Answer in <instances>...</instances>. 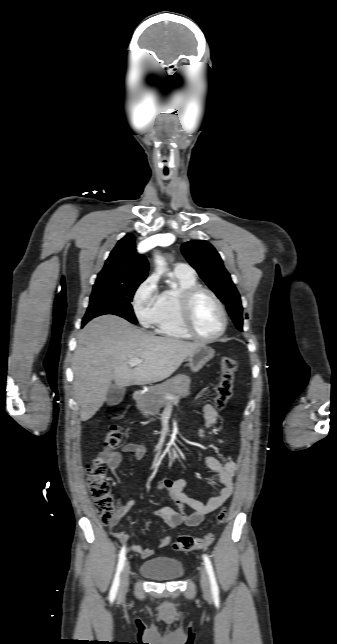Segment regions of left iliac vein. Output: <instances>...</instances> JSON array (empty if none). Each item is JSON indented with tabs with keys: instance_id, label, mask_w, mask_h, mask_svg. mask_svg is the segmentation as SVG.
<instances>
[{
	"instance_id": "left-iliac-vein-1",
	"label": "left iliac vein",
	"mask_w": 337,
	"mask_h": 644,
	"mask_svg": "<svg viewBox=\"0 0 337 644\" xmlns=\"http://www.w3.org/2000/svg\"><path fill=\"white\" fill-rule=\"evenodd\" d=\"M201 573V586L205 594H210L211 592V585H210V580H209V575L207 570L202 567L200 569Z\"/></svg>"
}]
</instances>
